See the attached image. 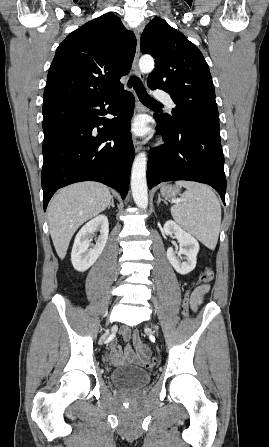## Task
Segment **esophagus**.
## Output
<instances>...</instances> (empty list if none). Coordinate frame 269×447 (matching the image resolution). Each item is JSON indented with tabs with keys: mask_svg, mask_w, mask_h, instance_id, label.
<instances>
[{
	"mask_svg": "<svg viewBox=\"0 0 269 447\" xmlns=\"http://www.w3.org/2000/svg\"><path fill=\"white\" fill-rule=\"evenodd\" d=\"M136 39H137V45H136V52H135L133 65H132V72L136 77L140 78L141 74H140L139 67H138V61H139V57H140V34H139V31H136ZM136 99H137V96H136ZM135 111L137 113L141 111V107L139 104L136 105ZM140 143L141 142L134 136L133 144H134V148H135L136 152L140 151L142 148Z\"/></svg>",
	"mask_w": 269,
	"mask_h": 447,
	"instance_id": "esophagus-1",
	"label": "esophagus"
}]
</instances>
